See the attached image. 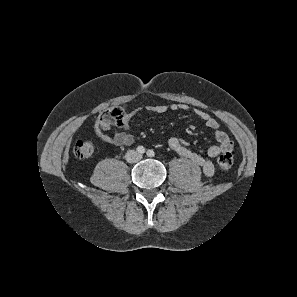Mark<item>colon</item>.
Here are the masks:
<instances>
[{
  "mask_svg": "<svg viewBox=\"0 0 297 297\" xmlns=\"http://www.w3.org/2000/svg\"><path fill=\"white\" fill-rule=\"evenodd\" d=\"M126 114L120 107H111L103 111L98 118V125L107 129L113 125H122ZM94 153V145L88 140H78L74 146V154L77 158L88 159ZM233 165V157L230 152L223 153L218 158V166L222 172H227Z\"/></svg>",
  "mask_w": 297,
  "mask_h": 297,
  "instance_id": "1",
  "label": "colon"
}]
</instances>
